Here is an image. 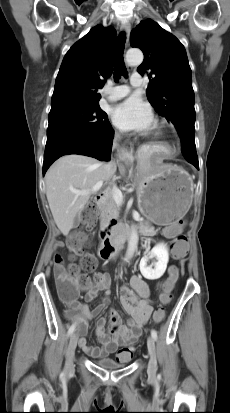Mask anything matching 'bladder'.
<instances>
[{
  "instance_id": "obj_1",
  "label": "bladder",
  "mask_w": 230,
  "mask_h": 413,
  "mask_svg": "<svg viewBox=\"0 0 230 413\" xmlns=\"http://www.w3.org/2000/svg\"><path fill=\"white\" fill-rule=\"evenodd\" d=\"M96 364L104 369H108V370H114V369H120L122 367H124L123 364L117 363L114 360L110 359V358H99L96 361Z\"/></svg>"
}]
</instances>
